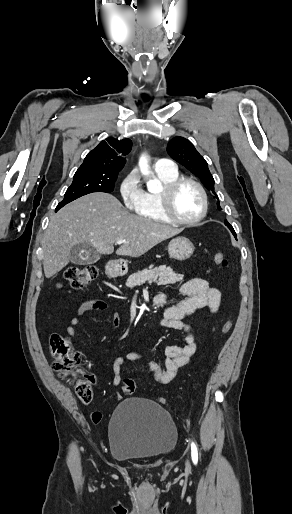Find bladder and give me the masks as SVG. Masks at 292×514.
<instances>
[{
  "label": "bladder",
  "mask_w": 292,
  "mask_h": 514,
  "mask_svg": "<svg viewBox=\"0 0 292 514\" xmlns=\"http://www.w3.org/2000/svg\"><path fill=\"white\" fill-rule=\"evenodd\" d=\"M177 440V428L170 413L148 399L123 400L110 418V451L118 460L163 456L175 447Z\"/></svg>",
  "instance_id": "31cf9c89"
}]
</instances>
